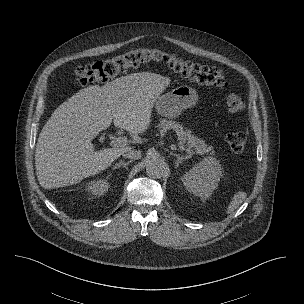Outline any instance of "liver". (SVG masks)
<instances>
[{
	"instance_id": "obj_1",
	"label": "liver",
	"mask_w": 304,
	"mask_h": 304,
	"mask_svg": "<svg viewBox=\"0 0 304 304\" xmlns=\"http://www.w3.org/2000/svg\"><path fill=\"white\" fill-rule=\"evenodd\" d=\"M168 77L139 72L81 89L62 103L39 134L35 168L40 186L65 187L109 167L129 146L95 151L92 140L113 122L131 134L145 132Z\"/></svg>"
}]
</instances>
